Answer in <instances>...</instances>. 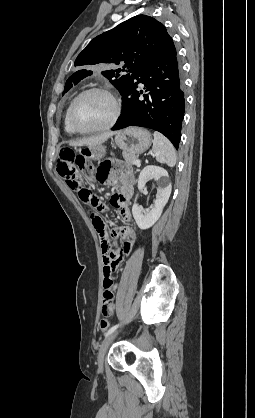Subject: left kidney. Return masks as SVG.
Returning a JSON list of instances; mask_svg holds the SVG:
<instances>
[{
	"label": "left kidney",
	"mask_w": 255,
	"mask_h": 418,
	"mask_svg": "<svg viewBox=\"0 0 255 418\" xmlns=\"http://www.w3.org/2000/svg\"><path fill=\"white\" fill-rule=\"evenodd\" d=\"M151 179H154L158 183L154 205L147 212H144L136 203L137 195L132 207V213L136 224L142 230L152 227L157 222L171 194V182L169 180L168 172L164 168L154 165L146 166L140 172L138 189L142 190L147 181Z\"/></svg>",
	"instance_id": "obj_1"
}]
</instances>
